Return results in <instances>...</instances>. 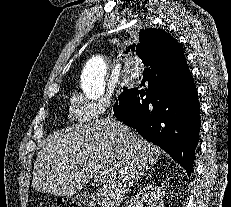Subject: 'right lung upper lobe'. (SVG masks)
Listing matches in <instances>:
<instances>
[{"mask_svg":"<svg viewBox=\"0 0 231 207\" xmlns=\"http://www.w3.org/2000/svg\"><path fill=\"white\" fill-rule=\"evenodd\" d=\"M140 43L130 45L127 51H135L143 64L148 67H159L160 70H182L187 66L183 46L169 33L152 28ZM136 47V48H135Z\"/></svg>","mask_w":231,"mask_h":207,"instance_id":"right-lung-upper-lobe-1","label":"right lung upper lobe"}]
</instances>
